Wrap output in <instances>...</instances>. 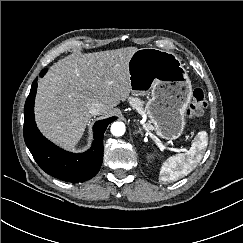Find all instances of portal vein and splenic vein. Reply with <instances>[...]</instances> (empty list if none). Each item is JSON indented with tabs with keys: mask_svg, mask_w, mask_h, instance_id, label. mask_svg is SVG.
Here are the masks:
<instances>
[{
	"mask_svg": "<svg viewBox=\"0 0 243 243\" xmlns=\"http://www.w3.org/2000/svg\"><path fill=\"white\" fill-rule=\"evenodd\" d=\"M143 128L144 130L149 134V136L155 141V143L157 144V146L161 149V150H164V149H167L158 139L155 138V136L149 131V128L147 125L143 124ZM169 150L171 151H175V152H185L186 149L185 148H181V149H178V148H168Z\"/></svg>",
	"mask_w": 243,
	"mask_h": 243,
	"instance_id": "portal-vein-and-splenic-vein-1",
	"label": "portal vein and splenic vein"
}]
</instances>
